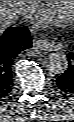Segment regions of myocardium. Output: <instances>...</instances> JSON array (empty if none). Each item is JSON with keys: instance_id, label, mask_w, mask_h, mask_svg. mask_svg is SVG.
Returning a JSON list of instances; mask_svg holds the SVG:
<instances>
[{"instance_id": "1", "label": "myocardium", "mask_w": 74, "mask_h": 122, "mask_svg": "<svg viewBox=\"0 0 74 122\" xmlns=\"http://www.w3.org/2000/svg\"><path fill=\"white\" fill-rule=\"evenodd\" d=\"M45 2H46V4H47L49 7H52L55 1H45ZM67 19H68V20H74V2H73V8H72V10H71L70 13L67 15Z\"/></svg>"}]
</instances>
